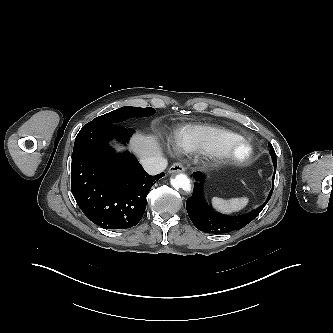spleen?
I'll return each instance as SVG.
<instances>
[{
  "instance_id": "1",
  "label": "spleen",
  "mask_w": 333,
  "mask_h": 333,
  "mask_svg": "<svg viewBox=\"0 0 333 333\" xmlns=\"http://www.w3.org/2000/svg\"><path fill=\"white\" fill-rule=\"evenodd\" d=\"M248 201L249 199L247 197L232 198L229 200L213 197L212 205L216 210L225 214H229L243 209L248 204Z\"/></svg>"
}]
</instances>
